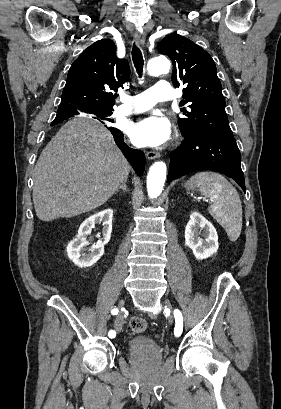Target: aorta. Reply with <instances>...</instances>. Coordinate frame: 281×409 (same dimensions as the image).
Returning a JSON list of instances; mask_svg holds the SVG:
<instances>
[{
    "mask_svg": "<svg viewBox=\"0 0 281 409\" xmlns=\"http://www.w3.org/2000/svg\"><path fill=\"white\" fill-rule=\"evenodd\" d=\"M171 67L170 61L163 56L149 60L147 71L151 76H159L168 73ZM166 164L162 161L155 162L147 175V191L150 198L158 197L166 180Z\"/></svg>",
    "mask_w": 281,
    "mask_h": 409,
    "instance_id": "1",
    "label": "aorta"
}]
</instances>
